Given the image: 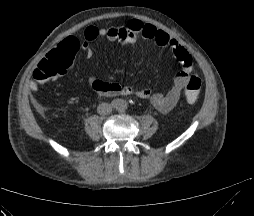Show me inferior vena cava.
Returning <instances> with one entry per match:
<instances>
[{"instance_id": "602c4592", "label": "inferior vena cava", "mask_w": 254, "mask_h": 216, "mask_svg": "<svg viewBox=\"0 0 254 216\" xmlns=\"http://www.w3.org/2000/svg\"><path fill=\"white\" fill-rule=\"evenodd\" d=\"M97 112L100 115L110 114L112 112V106L108 103H101V104H99V106L97 108Z\"/></svg>"}]
</instances>
